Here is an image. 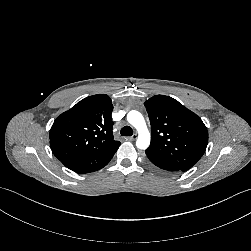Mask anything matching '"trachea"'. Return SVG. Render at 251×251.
Listing matches in <instances>:
<instances>
[{
	"label": "trachea",
	"mask_w": 251,
	"mask_h": 251,
	"mask_svg": "<svg viewBox=\"0 0 251 251\" xmlns=\"http://www.w3.org/2000/svg\"><path fill=\"white\" fill-rule=\"evenodd\" d=\"M121 135L122 136H131L133 134V130L130 126H124L122 129H121Z\"/></svg>",
	"instance_id": "3493384b"
}]
</instances>
